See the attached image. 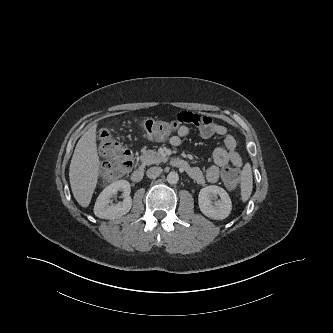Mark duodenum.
<instances>
[{"mask_svg":"<svg viewBox=\"0 0 333 333\" xmlns=\"http://www.w3.org/2000/svg\"><path fill=\"white\" fill-rule=\"evenodd\" d=\"M170 163L179 169L182 170H188L189 169V164L182 158L175 157L171 159ZM144 176V167L140 165L137 167L132 173H131V179L134 182H140Z\"/></svg>","mask_w":333,"mask_h":333,"instance_id":"duodenum-1","label":"duodenum"}]
</instances>
